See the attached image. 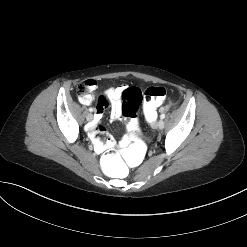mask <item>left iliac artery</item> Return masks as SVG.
I'll return each mask as SVG.
<instances>
[{"instance_id":"obj_1","label":"left iliac artery","mask_w":247,"mask_h":247,"mask_svg":"<svg viewBox=\"0 0 247 247\" xmlns=\"http://www.w3.org/2000/svg\"><path fill=\"white\" fill-rule=\"evenodd\" d=\"M160 118H161V119H164V118H165V114H161V115H160Z\"/></svg>"}]
</instances>
